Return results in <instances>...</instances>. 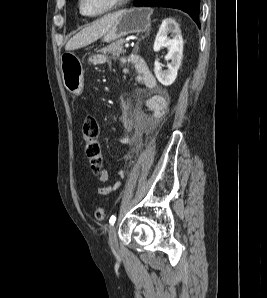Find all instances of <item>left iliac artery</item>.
<instances>
[{
	"mask_svg": "<svg viewBox=\"0 0 267 298\" xmlns=\"http://www.w3.org/2000/svg\"><path fill=\"white\" fill-rule=\"evenodd\" d=\"M115 221H116V215L111 216L109 220L110 225L112 226L115 223Z\"/></svg>",
	"mask_w": 267,
	"mask_h": 298,
	"instance_id": "obj_1",
	"label": "left iliac artery"
}]
</instances>
